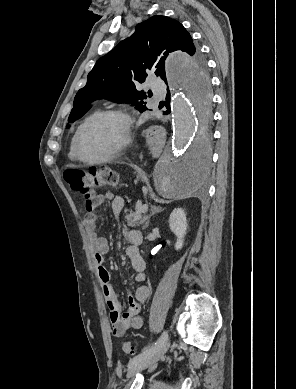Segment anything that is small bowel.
I'll list each match as a JSON object with an SVG mask.
<instances>
[{
  "label": "small bowel",
  "instance_id": "obj_1",
  "mask_svg": "<svg viewBox=\"0 0 296 389\" xmlns=\"http://www.w3.org/2000/svg\"><path fill=\"white\" fill-rule=\"evenodd\" d=\"M107 200L111 201V209L115 216H119L125 207V201L122 197L114 196L108 192L105 194L90 193L85 197L83 209V226L87 233L93 259L96 265L98 278L102 287V292L109 309V320L112 333L116 337H121L130 328H140L143 324V317L140 315L141 305L146 303L150 297V289L143 284L145 280V261L140 255L138 246L141 243V234L134 230H126L123 233L125 240L130 245L126 254L130 259L131 265L136 272L135 280L137 282L134 295L129 296L128 306L125 311H121L120 304L110 283V274L104 267V255L109 250L108 242L105 238L99 236L96 232V219L99 207Z\"/></svg>",
  "mask_w": 296,
  "mask_h": 389
}]
</instances>
